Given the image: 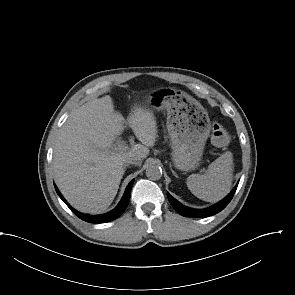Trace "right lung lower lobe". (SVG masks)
Wrapping results in <instances>:
<instances>
[{
  "instance_id": "right-lung-lower-lobe-1",
  "label": "right lung lower lobe",
  "mask_w": 295,
  "mask_h": 295,
  "mask_svg": "<svg viewBox=\"0 0 295 295\" xmlns=\"http://www.w3.org/2000/svg\"><path fill=\"white\" fill-rule=\"evenodd\" d=\"M134 180H131L130 183L128 184L125 193L120 201V203L116 206L115 209H113L112 211L103 214V215H87V214H83L80 213L78 211H76L75 209H73L68 203L67 201L64 199V197L61 195V193L59 192V190L57 189V187L55 186L56 192L59 195V197L63 200V202L70 208V210L76 215L78 216L80 219H82L83 221L89 222V223H105V222H109L112 221L116 218H118L126 209L129 200H130V194H131V188L133 185Z\"/></svg>"
}]
</instances>
